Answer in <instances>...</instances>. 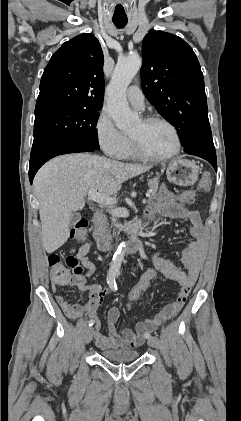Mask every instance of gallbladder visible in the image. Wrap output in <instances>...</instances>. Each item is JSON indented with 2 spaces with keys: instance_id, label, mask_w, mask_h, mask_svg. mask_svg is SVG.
<instances>
[{
  "instance_id": "1",
  "label": "gallbladder",
  "mask_w": 241,
  "mask_h": 421,
  "mask_svg": "<svg viewBox=\"0 0 241 421\" xmlns=\"http://www.w3.org/2000/svg\"><path fill=\"white\" fill-rule=\"evenodd\" d=\"M80 214L79 213H74L70 219V227L74 226L75 223L80 219Z\"/></svg>"
}]
</instances>
